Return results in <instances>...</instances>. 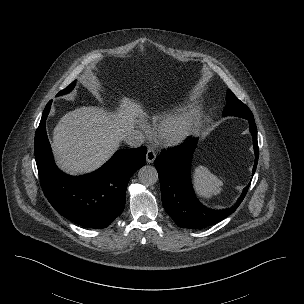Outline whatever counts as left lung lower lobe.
<instances>
[{
    "label": "left lung lower lobe",
    "instance_id": "left-lung-lower-lobe-1",
    "mask_svg": "<svg viewBox=\"0 0 304 304\" xmlns=\"http://www.w3.org/2000/svg\"><path fill=\"white\" fill-rule=\"evenodd\" d=\"M250 132L253 137L255 173L259 149L257 128L254 119H249ZM197 138L188 140L184 145L162 152L155 160L161 187V198L168 215L181 228L199 229L216 224L232 214L244 199L250 186L243 189L237 203L228 209L212 210L203 206L195 196L190 178L192 152Z\"/></svg>",
    "mask_w": 304,
    "mask_h": 304
}]
</instances>
